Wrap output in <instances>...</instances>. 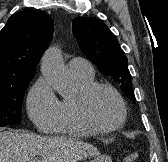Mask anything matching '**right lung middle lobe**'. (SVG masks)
<instances>
[{"label": "right lung middle lobe", "instance_id": "right-lung-middle-lobe-1", "mask_svg": "<svg viewBox=\"0 0 168 162\" xmlns=\"http://www.w3.org/2000/svg\"><path fill=\"white\" fill-rule=\"evenodd\" d=\"M32 78L0 83V126L20 123L24 92Z\"/></svg>", "mask_w": 168, "mask_h": 162}]
</instances>
